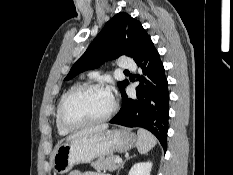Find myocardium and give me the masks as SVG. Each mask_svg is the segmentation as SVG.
Segmentation results:
<instances>
[{"instance_id":"1","label":"myocardium","mask_w":233,"mask_h":175,"mask_svg":"<svg viewBox=\"0 0 233 175\" xmlns=\"http://www.w3.org/2000/svg\"><path fill=\"white\" fill-rule=\"evenodd\" d=\"M93 89L106 90L103 85L98 84V83H84V84L75 86L61 99L59 106H58L57 116H58V121L63 128L68 129V130H77V129L93 126V125L100 124L102 122L107 121L109 118H111L114 115V113L117 110V103L114 97L111 95V98H112L111 107L108 110V112L102 117L94 119V120H89L86 122H81V123H72L66 119L65 107L67 103L70 101V99H72L75 95L83 91L93 90Z\"/></svg>"}]
</instances>
